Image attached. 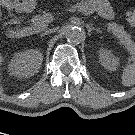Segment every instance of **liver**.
Masks as SVG:
<instances>
[{"label":"liver","instance_id":"6515ba94","mask_svg":"<svg viewBox=\"0 0 135 135\" xmlns=\"http://www.w3.org/2000/svg\"><path fill=\"white\" fill-rule=\"evenodd\" d=\"M2 62H3V57H2V55L0 54V67H1ZM1 92H3V88H2V85H1V83H0V93H1Z\"/></svg>","mask_w":135,"mask_h":135}]
</instances>
